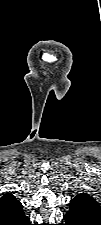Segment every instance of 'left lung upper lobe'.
Returning a JSON list of instances; mask_svg holds the SVG:
<instances>
[{"label":"left lung upper lobe","instance_id":"obj_1","mask_svg":"<svg viewBox=\"0 0 101 225\" xmlns=\"http://www.w3.org/2000/svg\"><path fill=\"white\" fill-rule=\"evenodd\" d=\"M70 209H80L95 214H101L99 203L86 194H78L70 201Z\"/></svg>","mask_w":101,"mask_h":225}]
</instances>
